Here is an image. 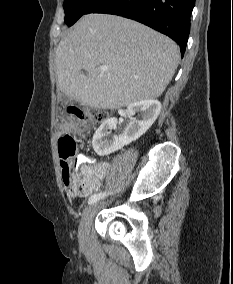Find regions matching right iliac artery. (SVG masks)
<instances>
[{
  "instance_id": "right-iliac-artery-1",
  "label": "right iliac artery",
  "mask_w": 233,
  "mask_h": 284,
  "mask_svg": "<svg viewBox=\"0 0 233 284\" xmlns=\"http://www.w3.org/2000/svg\"><path fill=\"white\" fill-rule=\"evenodd\" d=\"M106 195H107L106 192L95 193L94 195H92L89 198L88 203L93 204V203L97 202L98 200L104 198Z\"/></svg>"
}]
</instances>
